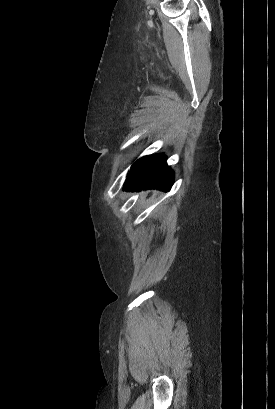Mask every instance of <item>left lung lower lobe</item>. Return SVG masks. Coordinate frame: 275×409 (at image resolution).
<instances>
[{"label": "left lung lower lobe", "instance_id": "obj_1", "mask_svg": "<svg viewBox=\"0 0 275 409\" xmlns=\"http://www.w3.org/2000/svg\"><path fill=\"white\" fill-rule=\"evenodd\" d=\"M174 174L166 163L165 155H149L138 159L131 167L124 185L126 191L142 189L170 190Z\"/></svg>", "mask_w": 275, "mask_h": 409}]
</instances>
